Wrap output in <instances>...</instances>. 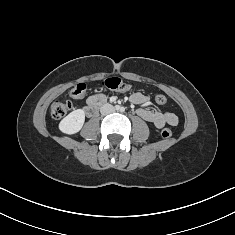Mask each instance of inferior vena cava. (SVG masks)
Here are the masks:
<instances>
[{
	"label": "inferior vena cava",
	"mask_w": 235,
	"mask_h": 235,
	"mask_svg": "<svg viewBox=\"0 0 235 235\" xmlns=\"http://www.w3.org/2000/svg\"><path fill=\"white\" fill-rule=\"evenodd\" d=\"M115 111L113 105L107 103V104H104L101 108H100V112L102 115H107V114H110V113H113Z\"/></svg>",
	"instance_id": "obj_1"
}]
</instances>
